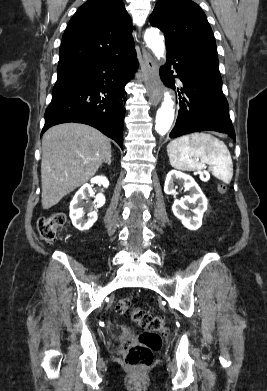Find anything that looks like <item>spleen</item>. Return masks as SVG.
I'll return each mask as SVG.
<instances>
[{"label":"spleen","mask_w":267,"mask_h":391,"mask_svg":"<svg viewBox=\"0 0 267 391\" xmlns=\"http://www.w3.org/2000/svg\"><path fill=\"white\" fill-rule=\"evenodd\" d=\"M167 153L172 167L182 171H209L219 180L229 184L233 177V163L224 142L211 134L195 132L171 141Z\"/></svg>","instance_id":"obj_1"}]
</instances>
